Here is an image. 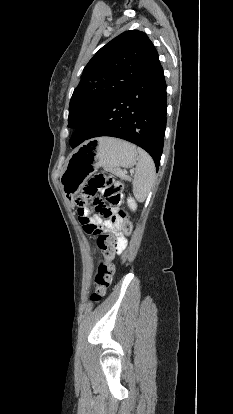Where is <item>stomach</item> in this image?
<instances>
[{"label":"stomach","instance_id":"0dacf381","mask_svg":"<svg viewBox=\"0 0 233 414\" xmlns=\"http://www.w3.org/2000/svg\"><path fill=\"white\" fill-rule=\"evenodd\" d=\"M136 147L115 138H95L72 152L61 176L62 189L69 200H74L82 186L99 167L116 172L136 164Z\"/></svg>","mask_w":233,"mask_h":414}]
</instances>
